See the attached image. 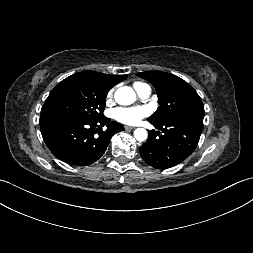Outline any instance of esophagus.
Wrapping results in <instances>:
<instances>
[{
  "label": "esophagus",
  "mask_w": 253,
  "mask_h": 253,
  "mask_svg": "<svg viewBox=\"0 0 253 253\" xmlns=\"http://www.w3.org/2000/svg\"><path fill=\"white\" fill-rule=\"evenodd\" d=\"M133 129H135V127H133V126H125V130H133Z\"/></svg>",
  "instance_id": "34e87169"
}]
</instances>
